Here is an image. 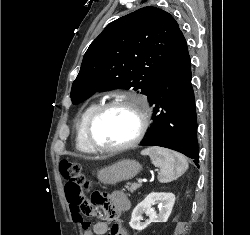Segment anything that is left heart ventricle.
Here are the masks:
<instances>
[{"label": "left heart ventricle", "instance_id": "1", "mask_svg": "<svg viewBox=\"0 0 250 235\" xmlns=\"http://www.w3.org/2000/svg\"><path fill=\"white\" fill-rule=\"evenodd\" d=\"M139 120L136 112L124 106L111 108L102 114L93 127V138L102 146L129 142L136 134Z\"/></svg>", "mask_w": 250, "mask_h": 235}]
</instances>
